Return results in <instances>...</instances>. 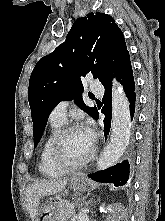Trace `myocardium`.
Wrapping results in <instances>:
<instances>
[{"mask_svg":"<svg viewBox=\"0 0 165 221\" xmlns=\"http://www.w3.org/2000/svg\"><path fill=\"white\" fill-rule=\"evenodd\" d=\"M81 129L79 125L76 124H70L63 126L55 135L52 145H51V159L53 164L60 170L63 171H74L78 170L82 167H84L86 164H88L95 156L96 153V147L95 143L92 142V147L88 155L81 161L77 163H69L62 157L61 153V147L63 140L65 137L74 130Z\"/></svg>","mask_w":165,"mask_h":221,"instance_id":"obj_1","label":"myocardium"}]
</instances>
